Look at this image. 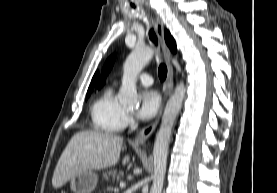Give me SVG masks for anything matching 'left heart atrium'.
I'll use <instances>...</instances> for the list:
<instances>
[{
  "instance_id": "left-heart-atrium-1",
  "label": "left heart atrium",
  "mask_w": 277,
  "mask_h": 193,
  "mask_svg": "<svg viewBox=\"0 0 277 193\" xmlns=\"http://www.w3.org/2000/svg\"><path fill=\"white\" fill-rule=\"evenodd\" d=\"M161 105L159 94L153 90H146L140 95V105L137 116L142 120H150L158 113Z\"/></svg>"
}]
</instances>
